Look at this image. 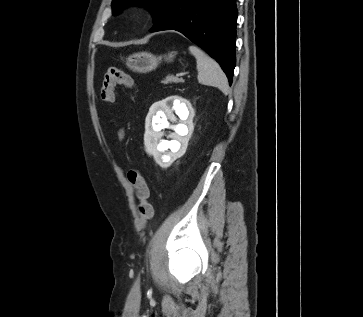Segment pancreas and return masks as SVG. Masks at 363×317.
I'll return each mask as SVG.
<instances>
[{
  "instance_id": "obj_1",
  "label": "pancreas",
  "mask_w": 363,
  "mask_h": 317,
  "mask_svg": "<svg viewBox=\"0 0 363 317\" xmlns=\"http://www.w3.org/2000/svg\"><path fill=\"white\" fill-rule=\"evenodd\" d=\"M179 83V82H182V79H179L173 75H168L163 81L162 83L164 84H168V83Z\"/></svg>"
}]
</instances>
